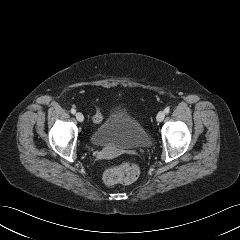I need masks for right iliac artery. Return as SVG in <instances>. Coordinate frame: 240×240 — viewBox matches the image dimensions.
<instances>
[{"label": "right iliac artery", "instance_id": "obj_1", "mask_svg": "<svg viewBox=\"0 0 240 240\" xmlns=\"http://www.w3.org/2000/svg\"><path fill=\"white\" fill-rule=\"evenodd\" d=\"M75 112H76V110L72 108V109H71V113H72V114H75Z\"/></svg>", "mask_w": 240, "mask_h": 240}]
</instances>
